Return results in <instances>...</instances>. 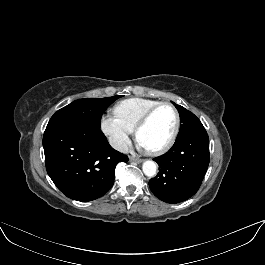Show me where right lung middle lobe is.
I'll use <instances>...</instances> for the list:
<instances>
[{"label":"right lung middle lobe","instance_id":"obj_1","mask_svg":"<svg viewBox=\"0 0 265 265\" xmlns=\"http://www.w3.org/2000/svg\"><path fill=\"white\" fill-rule=\"evenodd\" d=\"M120 97L122 96L116 95L107 98L76 100L58 110L50 121L72 120L100 128V119L103 112L113 101Z\"/></svg>","mask_w":265,"mask_h":265}]
</instances>
